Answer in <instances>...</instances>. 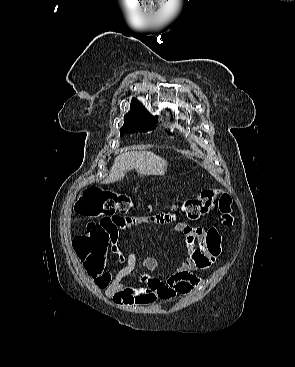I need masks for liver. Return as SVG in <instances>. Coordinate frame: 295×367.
<instances>
[{
	"instance_id": "6515ba94",
	"label": "liver",
	"mask_w": 295,
	"mask_h": 367,
	"mask_svg": "<svg viewBox=\"0 0 295 367\" xmlns=\"http://www.w3.org/2000/svg\"><path fill=\"white\" fill-rule=\"evenodd\" d=\"M166 168L167 162L153 152H125L115 158L110 174L104 183L120 181L124 178L125 173L132 169L141 175H162Z\"/></svg>"
}]
</instances>
